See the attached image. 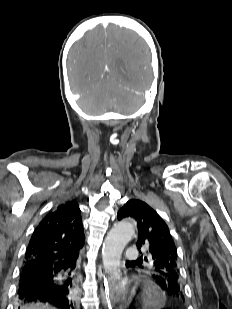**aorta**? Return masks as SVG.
Masks as SVG:
<instances>
[{
    "instance_id": "762f6f07",
    "label": "aorta",
    "mask_w": 232,
    "mask_h": 309,
    "mask_svg": "<svg viewBox=\"0 0 232 309\" xmlns=\"http://www.w3.org/2000/svg\"><path fill=\"white\" fill-rule=\"evenodd\" d=\"M135 233L132 221H123L114 225L107 234L102 250L104 269L114 278L119 279V267L124 248Z\"/></svg>"
}]
</instances>
